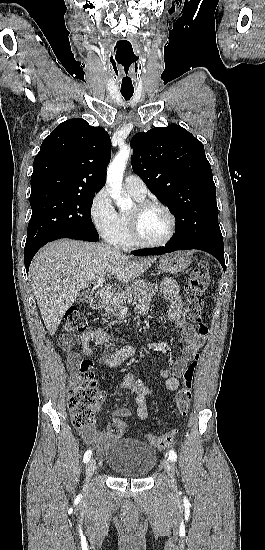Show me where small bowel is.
Here are the masks:
<instances>
[{"instance_id": "obj_1", "label": "small bowel", "mask_w": 265, "mask_h": 550, "mask_svg": "<svg viewBox=\"0 0 265 550\" xmlns=\"http://www.w3.org/2000/svg\"><path fill=\"white\" fill-rule=\"evenodd\" d=\"M161 291L169 301V317L176 323L185 343L181 355L173 362L171 369L160 371V376L166 380V389L176 391L179 387V379L183 376L188 363L194 359L203 347L204 336L197 333L185 320L183 316V295L176 282L169 278L165 279L161 284ZM149 307L148 302L140 303L137 306V313L145 315L148 313ZM92 341L101 346L110 345V337L107 332L96 328H90L80 335L63 336L60 339V343L69 348L68 358L72 365L78 364L81 359V354L75 350L76 346H80L86 356L94 355V351L90 347ZM135 354L136 348L133 345H125L117 350H107L101 361L109 366L117 367L135 356ZM119 385L134 395L137 406L136 415L138 419L146 420L149 415L146 399L153 394L154 390L143 377L134 373L124 374ZM130 415V410L123 406H117L111 412L112 417H128ZM81 434L87 444L94 445L97 448L102 447L110 438L108 432L98 431L93 426L85 428L81 431Z\"/></svg>"}]
</instances>
